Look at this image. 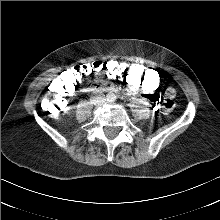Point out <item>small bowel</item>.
Here are the masks:
<instances>
[{"label":"small bowel","mask_w":220,"mask_h":220,"mask_svg":"<svg viewBox=\"0 0 220 220\" xmlns=\"http://www.w3.org/2000/svg\"><path fill=\"white\" fill-rule=\"evenodd\" d=\"M108 62H109V61H108ZM105 64H106V63H105ZM127 84H128V82H127ZM128 87H129L130 93H132V94H136V93L139 92L138 90H136V89L130 87L129 84H128ZM161 88H162V86H161ZM161 88H160V89H161ZM160 89H158V90H156V91H154V92H152V93H155V92L159 91ZM141 92H142V91H141ZM142 93H143V96L145 97V99H147V95L151 94V93H147V92H142ZM147 100H148V99H147Z\"/></svg>","instance_id":"c3829d8e"}]
</instances>
